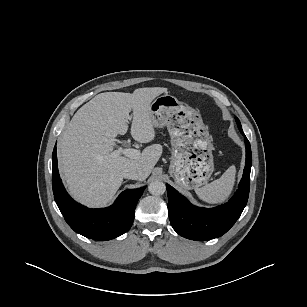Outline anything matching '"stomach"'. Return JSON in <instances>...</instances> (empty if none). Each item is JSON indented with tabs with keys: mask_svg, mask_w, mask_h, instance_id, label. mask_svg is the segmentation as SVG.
I'll return each instance as SVG.
<instances>
[{
	"mask_svg": "<svg viewBox=\"0 0 307 307\" xmlns=\"http://www.w3.org/2000/svg\"><path fill=\"white\" fill-rule=\"evenodd\" d=\"M154 127H167L172 157L169 173L181 188L197 189L214 171L212 139L201 115L170 94L157 97L149 106Z\"/></svg>",
	"mask_w": 307,
	"mask_h": 307,
	"instance_id": "obj_1",
	"label": "stomach"
}]
</instances>
